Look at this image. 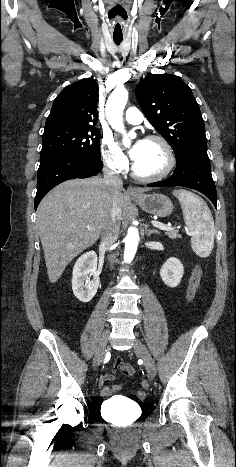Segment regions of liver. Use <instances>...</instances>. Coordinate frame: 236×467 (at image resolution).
<instances>
[{
	"label": "liver",
	"instance_id": "6515ba94",
	"mask_svg": "<svg viewBox=\"0 0 236 467\" xmlns=\"http://www.w3.org/2000/svg\"><path fill=\"white\" fill-rule=\"evenodd\" d=\"M121 191L92 177L65 181L43 198L36 222L51 283L58 281L73 258L98 240L113 202L121 219L127 204Z\"/></svg>",
	"mask_w": 236,
	"mask_h": 467
}]
</instances>
